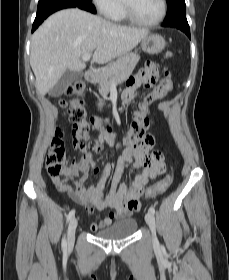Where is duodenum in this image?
I'll use <instances>...</instances> for the list:
<instances>
[{
    "mask_svg": "<svg viewBox=\"0 0 229 280\" xmlns=\"http://www.w3.org/2000/svg\"><path fill=\"white\" fill-rule=\"evenodd\" d=\"M85 79L91 83L96 82L98 79V73L94 70H87L85 72Z\"/></svg>",
    "mask_w": 229,
    "mask_h": 280,
    "instance_id": "1",
    "label": "duodenum"
}]
</instances>
